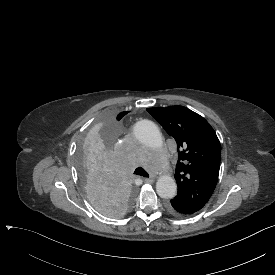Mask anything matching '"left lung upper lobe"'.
Returning a JSON list of instances; mask_svg holds the SVG:
<instances>
[{
    "mask_svg": "<svg viewBox=\"0 0 275 275\" xmlns=\"http://www.w3.org/2000/svg\"><path fill=\"white\" fill-rule=\"evenodd\" d=\"M147 111L177 142L179 160L173 202L201 210L211 197L219 175L221 146L210 124L199 114L179 105Z\"/></svg>",
    "mask_w": 275,
    "mask_h": 275,
    "instance_id": "1",
    "label": "left lung upper lobe"
}]
</instances>
